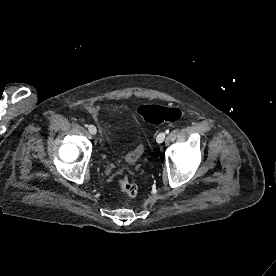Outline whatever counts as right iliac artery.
<instances>
[{
	"mask_svg": "<svg viewBox=\"0 0 276 276\" xmlns=\"http://www.w3.org/2000/svg\"><path fill=\"white\" fill-rule=\"evenodd\" d=\"M84 126H85V127H88V124H87V123H85V124H84Z\"/></svg>",
	"mask_w": 276,
	"mask_h": 276,
	"instance_id": "1",
	"label": "right iliac artery"
}]
</instances>
